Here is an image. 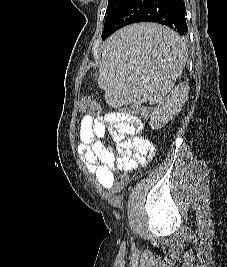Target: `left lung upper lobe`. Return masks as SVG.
I'll return each mask as SVG.
<instances>
[{
  "label": "left lung upper lobe",
  "mask_w": 227,
  "mask_h": 267,
  "mask_svg": "<svg viewBox=\"0 0 227 267\" xmlns=\"http://www.w3.org/2000/svg\"><path fill=\"white\" fill-rule=\"evenodd\" d=\"M128 0H109L107 7V16L105 22L113 16L117 11H119Z\"/></svg>",
  "instance_id": "left-lung-upper-lobe-1"
}]
</instances>
